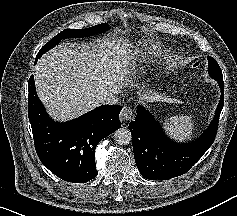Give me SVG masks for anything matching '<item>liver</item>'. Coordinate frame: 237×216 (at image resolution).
Here are the masks:
<instances>
[{
    "label": "liver",
    "instance_id": "6515ba94",
    "mask_svg": "<svg viewBox=\"0 0 237 216\" xmlns=\"http://www.w3.org/2000/svg\"><path fill=\"white\" fill-rule=\"evenodd\" d=\"M114 45L61 44L38 62L34 76L40 98L57 118H73L99 105L101 92L131 79ZM152 102L157 101L155 98Z\"/></svg>",
    "mask_w": 237,
    "mask_h": 216
}]
</instances>
